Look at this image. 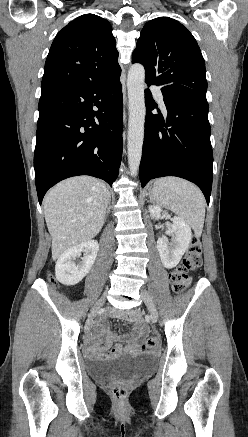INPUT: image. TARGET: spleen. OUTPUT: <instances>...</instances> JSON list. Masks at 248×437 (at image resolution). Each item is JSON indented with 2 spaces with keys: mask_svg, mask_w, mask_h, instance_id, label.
<instances>
[{
  "mask_svg": "<svg viewBox=\"0 0 248 437\" xmlns=\"http://www.w3.org/2000/svg\"><path fill=\"white\" fill-rule=\"evenodd\" d=\"M152 199L178 214L197 236L201 235L206 202L197 186L181 178H159L154 182Z\"/></svg>",
  "mask_w": 248,
  "mask_h": 437,
  "instance_id": "1",
  "label": "spleen"
}]
</instances>
